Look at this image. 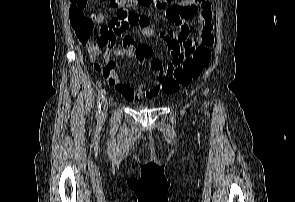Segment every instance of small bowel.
I'll list each match as a JSON object with an SVG mask.
<instances>
[{"label": "small bowel", "mask_w": 295, "mask_h": 202, "mask_svg": "<svg viewBox=\"0 0 295 202\" xmlns=\"http://www.w3.org/2000/svg\"><path fill=\"white\" fill-rule=\"evenodd\" d=\"M89 0H71V9L80 10L87 13L92 20L97 23L104 21L102 14H93L88 12ZM163 9L166 13L167 21L176 27L175 30H168L162 33V40L166 44L169 61L165 64L164 60L155 53L151 45H138L134 39L125 31L123 23L115 19L114 15L106 24L99 27V36L103 40L97 46H87V53L91 59H94L105 48L104 63H95L94 68L103 78L113 85L118 93L129 100H142L152 98L160 90L154 89L159 84L160 73L166 69L167 65L174 63L181 52L192 49L199 44L198 39H190L189 21L197 17L199 22L198 32L202 35L206 32H212V9L210 0H180L176 5H166L157 7ZM138 17L140 33L144 38H151L154 30L150 25V19L146 15L132 14ZM115 33H123V47L121 50H115ZM126 55L127 57H137L138 59H148L150 61L151 71L157 74L158 79L152 82L148 87H133L124 82H128V77H117L114 69L116 64H120V59H111L114 55ZM100 68V69H99ZM110 75V76H107Z\"/></svg>", "instance_id": "c3829d8e"}]
</instances>
